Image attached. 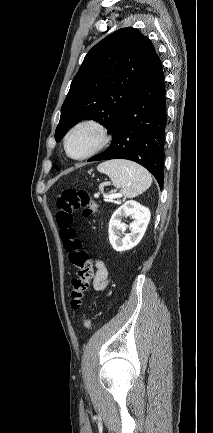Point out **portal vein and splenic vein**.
<instances>
[{
  "mask_svg": "<svg viewBox=\"0 0 213 433\" xmlns=\"http://www.w3.org/2000/svg\"><path fill=\"white\" fill-rule=\"evenodd\" d=\"M117 195H104V198L107 199H113V198H117Z\"/></svg>",
  "mask_w": 213,
  "mask_h": 433,
  "instance_id": "portal-vein-and-splenic-vein-1",
  "label": "portal vein and splenic vein"
}]
</instances>
